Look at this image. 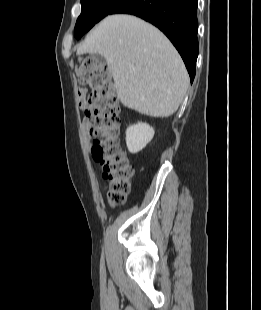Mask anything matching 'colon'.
Segmentation results:
<instances>
[{"label":"colon","mask_w":261,"mask_h":310,"mask_svg":"<svg viewBox=\"0 0 261 310\" xmlns=\"http://www.w3.org/2000/svg\"><path fill=\"white\" fill-rule=\"evenodd\" d=\"M76 76L80 84L91 89L83 108L95 138L93 158L101 164L109 184L110 205H121L131 191L134 169L119 144L120 106L111 75L105 66L84 57L76 67Z\"/></svg>","instance_id":"1"}]
</instances>
